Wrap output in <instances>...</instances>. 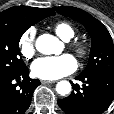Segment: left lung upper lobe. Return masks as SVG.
I'll return each mask as SVG.
<instances>
[{
    "label": "left lung upper lobe",
    "instance_id": "left-lung-upper-lobe-1",
    "mask_svg": "<svg viewBox=\"0 0 114 114\" xmlns=\"http://www.w3.org/2000/svg\"><path fill=\"white\" fill-rule=\"evenodd\" d=\"M54 9L82 23L92 39L89 62L81 74L114 73V44L106 27L99 20L78 8L62 6L54 7Z\"/></svg>",
    "mask_w": 114,
    "mask_h": 114
}]
</instances>
